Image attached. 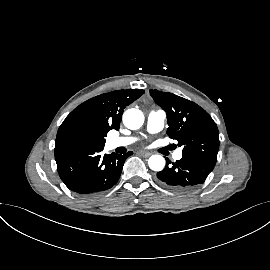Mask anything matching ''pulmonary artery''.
<instances>
[{
  "label": "pulmonary artery",
  "mask_w": 270,
  "mask_h": 270,
  "mask_svg": "<svg viewBox=\"0 0 270 270\" xmlns=\"http://www.w3.org/2000/svg\"><path fill=\"white\" fill-rule=\"evenodd\" d=\"M166 119L165 112L161 110H152L147 115V131L150 133H157L161 131L164 127ZM136 141L135 137H115L108 141L110 148L124 147L128 146ZM182 151L178 150L174 154L176 160L181 159Z\"/></svg>",
  "instance_id": "1"
}]
</instances>
